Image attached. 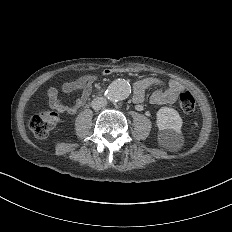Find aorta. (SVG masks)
I'll return each instance as SVG.
<instances>
[{
  "label": "aorta",
  "instance_id": "762f6f07",
  "mask_svg": "<svg viewBox=\"0 0 232 232\" xmlns=\"http://www.w3.org/2000/svg\"><path fill=\"white\" fill-rule=\"evenodd\" d=\"M131 93L130 84L124 79L114 80L106 91V96L111 101L126 99Z\"/></svg>",
  "mask_w": 232,
  "mask_h": 232
}]
</instances>
